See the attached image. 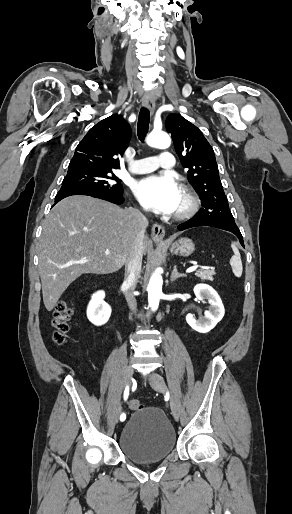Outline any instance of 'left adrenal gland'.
Returning <instances> with one entry per match:
<instances>
[{
	"label": "left adrenal gland",
	"mask_w": 292,
	"mask_h": 514,
	"mask_svg": "<svg viewBox=\"0 0 292 514\" xmlns=\"http://www.w3.org/2000/svg\"><path fill=\"white\" fill-rule=\"evenodd\" d=\"M184 276H186V274H179V272H177L176 266H174V270L171 274V282H174V280H177V278H184Z\"/></svg>",
	"instance_id": "left-adrenal-gland-1"
}]
</instances>
